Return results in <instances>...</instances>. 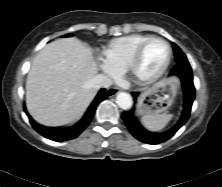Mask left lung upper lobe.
<instances>
[{
    "label": "left lung upper lobe",
    "instance_id": "1",
    "mask_svg": "<svg viewBox=\"0 0 222 187\" xmlns=\"http://www.w3.org/2000/svg\"><path fill=\"white\" fill-rule=\"evenodd\" d=\"M172 45L174 49L176 63H188L187 58L182 50L176 44L173 43Z\"/></svg>",
    "mask_w": 222,
    "mask_h": 187
}]
</instances>
